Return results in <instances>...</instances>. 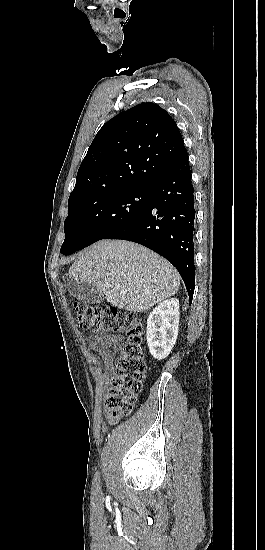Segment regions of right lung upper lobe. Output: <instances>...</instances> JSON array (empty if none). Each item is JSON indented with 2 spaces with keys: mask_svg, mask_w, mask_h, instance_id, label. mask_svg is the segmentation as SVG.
I'll list each match as a JSON object with an SVG mask.
<instances>
[{
  "mask_svg": "<svg viewBox=\"0 0 265 550\" xmlns=\"http://www.w3.org/2000/svg\"><path fill=\"white\" fill-rule=\"evenodd\" d=\"M182 135L159 105L140 103L110 119L92 141L68 204L152 183L185 152Z\"/></svg>",
  "mask_w": 265,
  "mask_h": 550,
  "instance_id": "1",
  "label": "right lung upper lobe"
}]
</instances>
